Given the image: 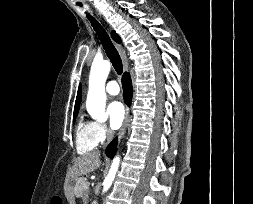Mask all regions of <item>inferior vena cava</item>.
I'll return each instance as SVG.
<instances>
[{"instance_id": "1", "label": "inferior vena cava", "mask_w": 253, "mask_h": 204, "mask_svg": "<svg viewBox=\"0 0 253 204\" xmlns=\"http://www.w3.org/2000/svg\"><path fill=\"white\" fill-rule=\"evenodd\" d=\"M114 137V132L111 130H107V143L110 142Z\"/></svg>"}]
</instances>
